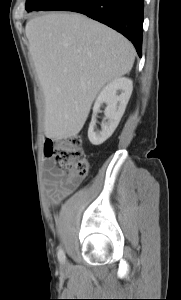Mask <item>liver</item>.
<instances>
[{"instance_id":"1","label":"liver","mask_w":181,"mask_h":300,"mask_svg":"<svg viewBox=\"0 0 181 300\" xmlns=\"http://www.w3.org/2000/svg\"><path fill=\"white\" fill-rule=\"evenodd\" d=\"M25 33L45 98L44 133L55 140L74 137L105 84L130 72L135 49L120 33L79 13L37 16Z\"/></svg>"}]
</instances>
